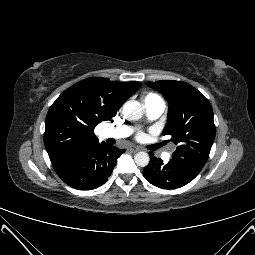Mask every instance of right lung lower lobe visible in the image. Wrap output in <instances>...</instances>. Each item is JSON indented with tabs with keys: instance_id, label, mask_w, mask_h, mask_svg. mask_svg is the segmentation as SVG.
<instances>
[{
	"instance_id": "right-lung-lower-lobe-1",
	"label": "right lung lower lobe",
	"mask_w": 255,
	"mask_h": 255,
	"mask_svg": "<svg viewBox=\"0 0 255 255\" xmlns=\"http://www.w3.org/2000/svg\"><path fill=\"white\" fill-rule=\"evenodd\" d=\"M124 149L102 143L74 151L52 162L58 176L78 190H92L104 184Z\"/></svg>"
}]
</instances>
